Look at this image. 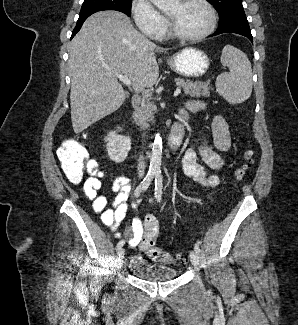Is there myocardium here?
Segmentation results:
<instances>
[{
  "instance_id": "f54148a6",
  "label": "myocardium",
  "mask_w": 298,
  "mask_h": 325,
  "mask_svg": "<svg viewBox=\"0 0 298 325\" xmlns=\"http://www.w3.org/2000/svg\"><path fill=\"white\" fill-rule=\"evenodd\" d=\"M177 1L181 2L184 0H177ZM192 1L199 4L205 10V12L207 14V18H208L206 27L200 33H198L196 35L185 36L183 34H180L177 30H175V28L172 25L169 14L167 12H165L166 17H167V23H168L167 37H169L171 39L178 40V41H182V42H197V41H201L202 39L207 37L213 31L214 26H215V18H214V14H213L211 7L204 0H192Z\"/></svg>"
}]
</instances>
